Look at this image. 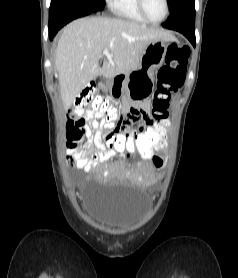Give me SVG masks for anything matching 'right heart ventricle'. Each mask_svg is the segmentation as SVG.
Returning a JSON list of instances; mask_svg holds the SVG:
<instances>
[{
	"mask_svg": "<svg viewBox=\"0 0 238 278\" xmlns=\"http://www.w3.org/2000/svg\"><path fill=\"white\" fill-rule=\"evenodd\" d=\"M109 7L118 17L139 23L148 22L140 13L137 0H110Z\"/></svg>",
	"mask_w": 238,
	"mask_h": 278,
	"instance_id": "e07e8e85",
	"label": "right heart ventricle"
}]
</instances>
